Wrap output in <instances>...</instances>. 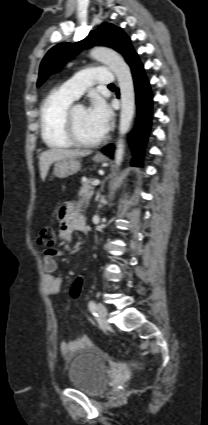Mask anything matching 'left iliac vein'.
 <instances>
[{
  "label": "left iliac vein",
  "mask_w": 208,
  "mask_h": 425,
  "mask_svg": "<svg viewBox=\"0 0 208 425\" xmlns=\"http://www.w3.org/2000/svg\"><path fill=\"white\" fill-rule=\"evenodd\" d=\"M96 309H97L100 323L105 324L107 320V315H108L106 307L102 303H98Z\"/></svg>",
  "instance_id": "obj_1"
}]
</instances>
